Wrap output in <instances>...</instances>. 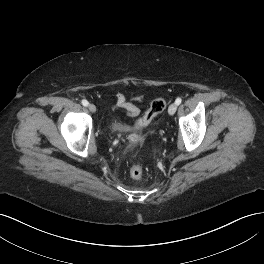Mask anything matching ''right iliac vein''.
Listing matches in <instances>:
<instances>
[{
  "label": "right iliac vein",
  "mask_w": 264,
  "mask_h": 264,
  "mask_svg": "<svg viewBox=\"0 0 264 264\" xmlns=\"http://www.w3.org/2000/svg\"><path fill=\"white\" fill-rule=\"evenodd\" d=\"M88 109L92 113L96 112V106L94 104H89Z\"/></svg>",
  "instance_id": "right-iliac-vein-1"
}]
</instances>
